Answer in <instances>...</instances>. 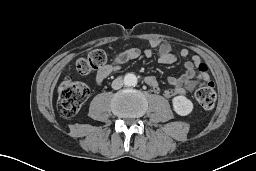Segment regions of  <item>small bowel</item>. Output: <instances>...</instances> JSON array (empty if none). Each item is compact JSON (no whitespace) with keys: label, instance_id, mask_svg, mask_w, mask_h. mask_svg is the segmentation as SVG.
<instances>
[{"label":"small bowel","instance_id":"obj_1","mask_svg":"<svg viewBox=\"0 0 256 171\" xmlns=\"http://www.w3.org/2000/svg\"><path fill=\"white\" fill-rule=\"evenodd\" d=\"M149 48L145 51L148 57L157 53L158 60L162 65H170L175 62L176 56L172 52V46L169 43L161 42L158 39H153L149 43ZM140 54L137 48L128 49L119 54L112 62L104 64L100 67L96 73L95 82L98 86L102 85L104 80L114 72L120 70L123 65L133 61ZM180 56L187 58L189 56V50L183 48L180 50ZM202 64L198 55H194L191 60L187 61L183 67V73L178 77H170L167 81V88L164 90V96L171 98L176 95H184L193 92L198 86L207 82L208 74L196 75L195 68H198ZM145 82L155 92L159 91V82L153 76H149L145 79Z\"/></svg>","mask_w":256,"mask_h":171}]
</instances>
